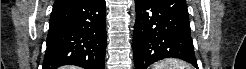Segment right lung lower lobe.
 Wrapping results in <instances>:
<instances>
[{"instance_id": "obj_1", "label": "right lung lower lobe", "mask_w": 246, "mask_h": 69, "mask_svg": "<svg viewBox=\"0 0 246 69\" xmlns=\"http://www.w3.org/2000/svg\"><path fill=\"white\" fill-rule=\"evenodd\" d=\"M105 0L56 1L50 18L43 69L72 64L104 69Z\"/></svg>"}]
</instances>
